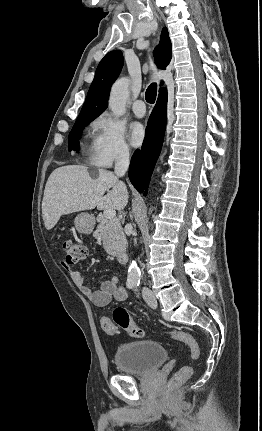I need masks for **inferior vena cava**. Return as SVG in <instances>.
Returning <instances> with one entry per match:
<instances>
[{"label": "inferior vena cava", "mask_w": 262, "mask_h": 431, "mask_svg": "<svg viewBox=\"0 0 262 431\" xmlns=\"http://www.w3.org/2000/svg\"><path fill=\"white\" fill-rule=\"evenodd\" d=\"M129 167V150L122 148L115 157V174L117 176H123Z\"/></svg>", "instance_id": "1"}]
</instances>
